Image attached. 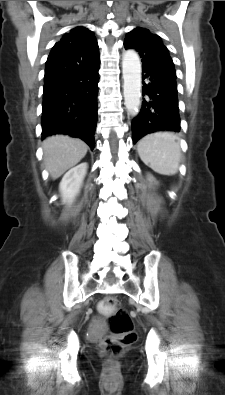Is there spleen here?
I'll return each instance as SVG.
<instances>
[{"instance_id": "1", "label": "spleen", "mask_w": 225, "mask_h": 395, "mask_svg": "<svg viewBox=\"0 0 225 395\" xmlns=\"http://www.w3.org/2000/svg\"><path fill=\"white\" fill-rule=\"evenodd\" d=\"M141 160L152 170L163 175L178 171L181 148L172 132H156L143 137L137 146Z\"/></svg>"}]
</instances>
